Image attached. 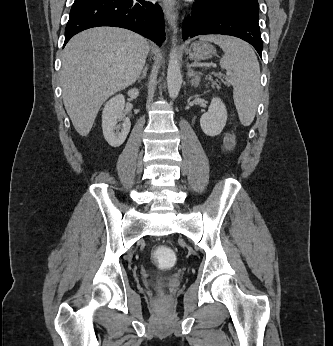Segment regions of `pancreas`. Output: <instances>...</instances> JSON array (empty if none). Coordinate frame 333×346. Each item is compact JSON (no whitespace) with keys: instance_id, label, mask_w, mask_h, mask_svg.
Wrapping results in <instances>:
<instances>
[{"instance_id":"1","label":"pancreas","mask_w":333,"mask_h":346,"mask_svg":"<svg viewBox=\"0 0 333 346\" xmlns=\"http://www.w3.org/2000/svg\"><path fill=\"white\" fill-rule=\"evenodd\" d=\"M207 79L210 80V81H212V86H215V85H216V87L219 88V86L217 85V83L214 82V81L212 80L211 77H207ZM222 81H223V80H222ZM225 83H226V82H225Z\"/></svg>"}]
</instances>
